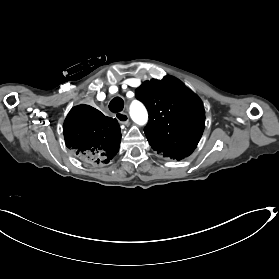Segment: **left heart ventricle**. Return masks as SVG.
I'll return each mask as SVG.
<instances>
[{
  "label": "left heart ventricle",
  "instance_id": "b2bd125f",
  "mask_svg": "<svg viewBox=\"0 0 279 279\" xmlns=\"http://www.w3.org/2000/svg\"><path fill=\"white\" fill-rule=\"evenodd\" d=\"M100 84H101V82H100V81H98V82H97V85H100ZM99 97H100V98H102L103 96H102V95H100Z\"/></svg>",
  "mask_w": 279,
  "mask_h": 279
}]
</instances>
